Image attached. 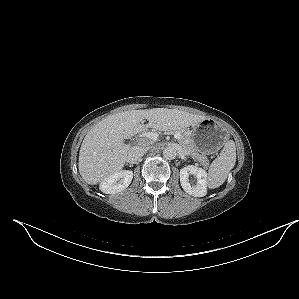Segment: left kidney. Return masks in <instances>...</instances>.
<instances>
[{"mask_svg": "<svg viewBox=\"0 0 299 299\" xmlns=\"http://www.w3.org/2000/svg\"><path fill=\"white\" fill-rule=\"evenodd\" d=\"M189 175H194L197 178L196 185L193 186L189 183ZM180 183L183 190L194 197H203L207 193V173L197 166L188 165L181 168Z\"/></svg>", "mask_w": 299, "mask_h": 299, "instance_id": "obj_1", "label": "left kidney"}]
</instances>
